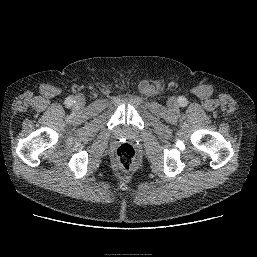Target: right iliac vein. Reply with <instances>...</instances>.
<instances>
[{
    "instance_id": "obj_1",
    "label": "right iliac vein",
    "mask_w": 257,
    "mask_h": 257,
    "mask_svg": "<svg viewBox=\"0 0 257 257\" xmlns=\"http://www.w3.org/2000/svg\"><path fill=\"white\" fill-rule=\"evenodd\" d=\"M84 104H85V99H84V97H83V96H78V97L76 98L75 105H76L77 107H82V106H84Z\"/></svg>"
}]
</instances>
